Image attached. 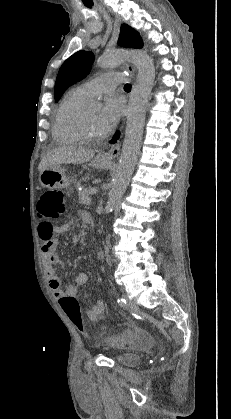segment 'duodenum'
<instances>
[{
  "mask_svg": "<svg viewBox=\"0 0 231 419\" xmlns=\"http://www.w3.org/2000/svg\"><path fill=\"white\" fill-rule=\"evenodd\" d=\"M92 222V219L90 218L89 220H88V223H91Z\"/></svg>",
  "mask_w": 231,
  "mask_h": 419,
  "instance_id": "duodenum-1",
  "label": "duodenum"
}]
</instances>
